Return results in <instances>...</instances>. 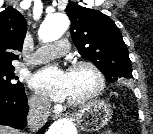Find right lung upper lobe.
<instances>
[{"label":"right lung upper lobe","mask_w":153,"mask_h":134,"mask_svg":"<svg viewBox=\"0 0 153 134\" xmlns=\"http://www.w3.org/2000/svg\"><path fill=\"white\" fill-rule=\"evenodd\" d=\"M27 29L23 15L13 7L0 12V68L12 66V60H18L19 55L13 51H22Z\"/></svg>","instance_id":"cb5924a9"}]
</instances>
